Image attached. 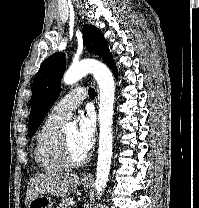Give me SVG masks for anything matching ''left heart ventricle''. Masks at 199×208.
I'll return each mask as SVG.
<instances>
[{
	"mask_svg": "<svg viewBox=\"0 0 199 208\" xmlns=\"http://www.w3.org/2000/svg\"><path fill=\"white\" fill-rule=\"evenodd\" d=\"M65 137L68 142L72 156L75 159L83 158L86 155V153H84L77 145V133L75 131H72L70 133H67Z\"/></svg>",
	"mask_w": 199,
	"mask_h": 208,
	"instance_id": "b2bd125f",
	"label": "left heart ventricle"
}]
</instances>
